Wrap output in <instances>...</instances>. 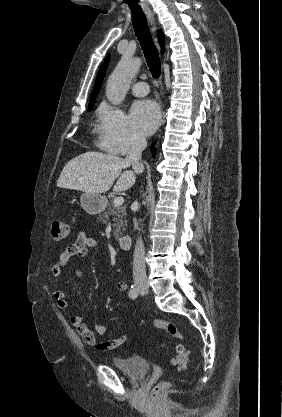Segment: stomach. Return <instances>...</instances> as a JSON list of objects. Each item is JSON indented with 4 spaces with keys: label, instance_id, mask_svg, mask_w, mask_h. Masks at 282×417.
Instances as JSON below:
<instances>
[{
    "label": "stomach",
    "instance_id": "obj_1",
    "mask_svg": "<svg viewBox=\"0 0 282 417\" xmlns=\"http://www.w3.org/2000/svg\"><path fill=\"white\" fill-rule=\"evenodd\" d=\"M82 209L89 215H99L107 206L106 196L100 192H83L80 196Z\"/></svg>",
    "mask_w": 282,
    "mask_h": 417
}]
</instances>
